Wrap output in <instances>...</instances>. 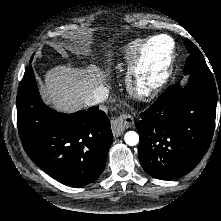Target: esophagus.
I'll return each mask as SVG.
<instances>
[{"label": "esophagus", "mask_w": 221, "mask_h": 221, "mask_svg": "<svg viewBox=\"0 0 221 221\" xmlns=\"http://www.w3.org/2000/svg\"><path fill=\"white\" fill-rule=\"evenodd\" d=\"M134 124V119L131 115L121 114L119 117L111 121V128L113 135L119 137L123 134L124 130L132 127Z\"/></svg>", "instance_id": "esophagus-1"}]
</instances>
